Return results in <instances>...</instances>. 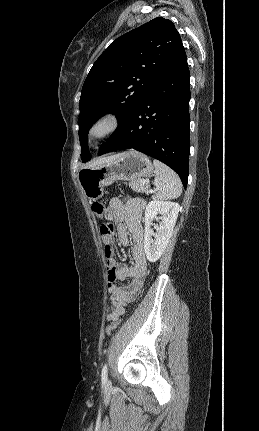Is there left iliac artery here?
Wrapping results in <instances>:
<instances>
[{
    "label": "left iliac artery",
    "mask_w": 259,
    "mask_h": 431,
    "mask_svg": "<svg viewBox=\"0 0 259 431\" xmlns=\"http://www.w3.org/2000/svg\"><path fill=\"white\" fill-rule=\"evenodd\" d=\"M101 377H102V382L105 383L107 381V365L106 364H104V366L102 368Z\"/></svg>",
    "instance_id": "44dca946"
}]
</instances>
